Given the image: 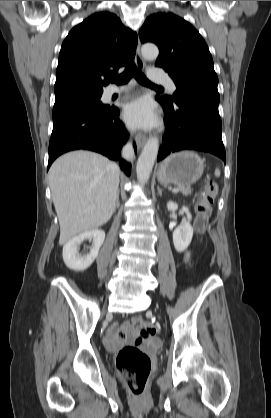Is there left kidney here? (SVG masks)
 <instances>
[{
	"instance_id": "5707ae66",
	"label": "left kidney",
	"mask_w": 271,
	"mask_h": 418,
	"mask_svg": "<svg viewBox=\"0 0 271 418\" xmlns=\"http://www.w3.org/2000/svg\"><path fill=\"white\" fill-rule=\"evenodd\" d=\"M167 208L170 211L176 210L178 205L172 201L167 203ZM182 210L187 215V221L181 224L173 232L174 247L178 252H183L190 245L193 237V228L190 224L192 216L187 207L183 206Z\"/></svg>"
}]
</instances>
